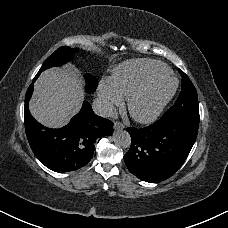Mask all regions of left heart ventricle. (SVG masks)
<instances>
[{"label":"left heart ventricle","instance_id":"obj_1","mask_svg":"<svg viewBox=\"0 0 228 228\" xmlns=\"http://www.w3.org/2000/svg\"><path fill=\"white\" fill-rule=\"evenodd\" d=\"M171 85L165 84L157 91L146 92L135 104V109L139 114L146 115L166 96Z\"/></svg>","mask_w":228,"mask_h":228}]
</instances>
